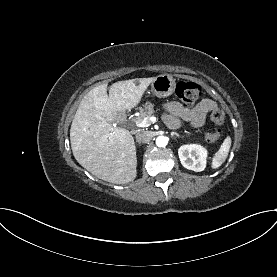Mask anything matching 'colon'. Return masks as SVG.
Instances as JSON below:
<instances>
[{
  "mask_svg": "<svg viewBox=\"0 0 277 277\" xmlns=\"http://www.w3.org/2000/svg\"><path fill=\"white\" fill-rule=\"evenodd\" d=\"M176 95L186 106L195 104L202 95L201 87L194 82L182 81L176 86ZM211 121L216 126H221L225 120V113L222 109L216 108L211 112ZM221 135V129L218 127L215 130L207 128L202 133V138L207 143H212Z\"/></svg>",
  "mask_w": 277,
  "mask_h": 277,
  "instance_id": "1",
  "label": "colon"
}]
</instances>
